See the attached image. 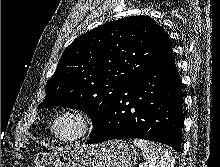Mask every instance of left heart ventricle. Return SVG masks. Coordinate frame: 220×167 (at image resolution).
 I'll return each mask as SVG.
<instances>
[{"instance_id": "b2bd125f", "label": "left heart ventricle", "mask_w": 220, "mask_h": 167, "mask_svg": "<svg viewBox=\"0 0 220 167\" xmlns=\"http://www.w3.org/2000/svg\"><path fill=\"white\" fill-rule=\"evenodd\" d=\"M78 123L74 118L66 117L60 120L56 125V133L60 136H71L77 130Z\"/></svg>"}]
</instances>
